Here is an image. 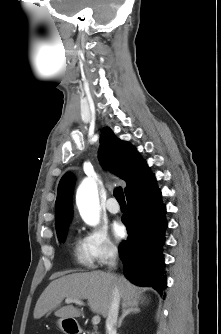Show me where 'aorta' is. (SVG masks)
I'll return each mask as SVG.
<instances>
[{"mask_svg":"<svg viewBox=\"0 0 221 334\" xmlns=\"http://www.w3.org/2000/svg\"><path fill=\"white\" fill-rule=\"evenodd\" d=\"M76 204L84 222L96 226L100 219V206L97 185L91 178L80 184L76 193Z\"/></svg>","mask_w":221,"mask_h":334,"instance_id":"1","label":"aorta"}]
</instances>
